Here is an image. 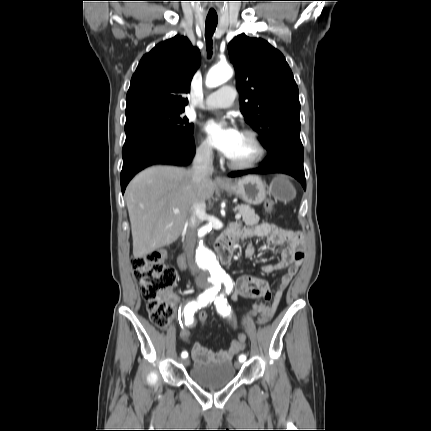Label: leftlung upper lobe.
Instances as JSON below:
<instances>
[{
	"mask_svg": "<svg viewBox=\"0 0 431 431\" xmlns=\"http://www.w3.org/2000/svg\"><path fill=\"white\" fill-rule=\"evenodd\" d=\"M236 71L241 112L271 151L281 143L302 146L299 91L283 54L260 38L245 34L228 44Z\"/></svg>",
	"mask_w": 431,
	"mask_h": 431,
	"instance_id": "left-lung-upper-lobe-1",
	"label": "left lung upper lobe"
}]
</instances>
